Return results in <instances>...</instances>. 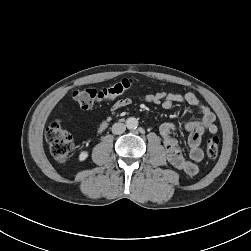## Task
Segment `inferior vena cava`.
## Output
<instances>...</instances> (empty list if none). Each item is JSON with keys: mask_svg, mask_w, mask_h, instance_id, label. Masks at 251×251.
<instances>
[{"mask_svg": "<svg viewBox=\"0 0 251 251\" xmlns=\"http://www.w3.org/2000/svg\"><path fill=\"white\" fill-rule=\"evenodd\" d=\"M126 130V125L123 123H115L112 126V133L116 135L122 134Z\"/></svg>", "mask_w": 251, "mask_h": 251, "instance_id": "obj_1", "label": "inferior vena cava"}]
</instances>
